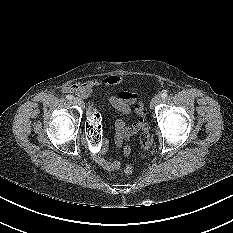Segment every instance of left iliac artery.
<instances>
[{"mask_svg": "<svg viewBox=\"0 0 233 233\" xmlns=\"http://www.w3.org/2000/svg\"><path fill=\"white\" fill-rule=\"evenodd\" d=\"M167 96H168V94H167L166 92H163V93L161 94V97H162L163 99L167 98Z\"/></svg>", "mask_w": 233, "mask_h": 233, "instance_id": "left-iliac-artery-1", "label": "left iliac artery"}]
</instances>
